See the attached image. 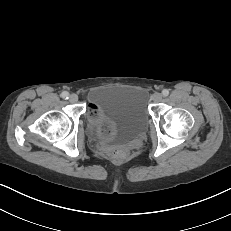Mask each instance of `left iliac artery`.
Masks as SVG:
<instances>
[{"mask_svg":"<svg viewBox=\"0 0 231 231\" xmlns=\"http://www.w3.org/2000/svg\"><path fill=\"white\" fill-rule=\"evenodd\" d=\"M162 95L163 96H168L169 95V90L168 89H164L163 91H162Z\"/></svg>","mask_w":231,"mask_h":231,"instance_id":"1","label":"left iliac artery"}]
</instances>
